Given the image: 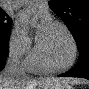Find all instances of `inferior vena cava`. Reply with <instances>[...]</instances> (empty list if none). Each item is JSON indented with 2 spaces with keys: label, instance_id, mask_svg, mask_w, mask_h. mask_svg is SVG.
Wrapping results in <instances>:
<instances>
[{
  "label": "inferior vena cava",
  "instance_id": "obj_1",
  "mask_svg": "<svg viewBox=\"0 0 89 89\" xmlns=\"http://www.w3.org/2000/svg\"><path fill=\"white\" fill-rule=\"evenodd\" d=\"M5 71L11 75H24V69L20 62V54L12 52L9 56Z\"/></svg>",
  "mask_w": 89,
  "mask_h": 89
}]
</instances>
